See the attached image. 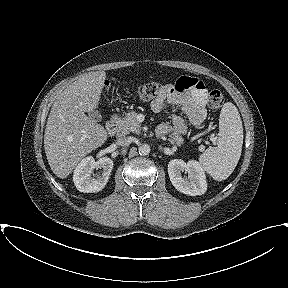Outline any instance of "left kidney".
Listing matches in <instances>:
<instances>
[{"mask_svg":"<svg viewBox=\"0 0 288 288\" xmlns=\"http://www.w3.org/2000/svg\"><path fill=\"white\" fill-rule=\"evenodd\" d=\"M188 178L182 177V173ZM168 174L172 185L180 192L190 195H202L207 190L206 176L199 162L190 160L187 163L181 159L171 160L168 164Z\"/></svg>","mask_w":288,"mask_h":288,"instance_id":"1","label":"left kidney"}]
</instances>
